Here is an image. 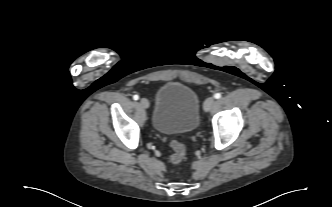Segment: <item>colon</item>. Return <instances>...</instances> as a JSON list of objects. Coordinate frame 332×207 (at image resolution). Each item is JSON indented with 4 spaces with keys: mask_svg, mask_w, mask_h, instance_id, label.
I'll list each match as a JSON object with an SVG mask.
<instances>
[{
    "mask_svg": "<svg viewBox=\"0 0 332 207\" xmlns=\"http://www.w3.org/2000/svg\"><path fill=\"white\" fill-rule=\"evenodd\" d=\"M170 147L173 152L170 157V161L173 164L180 163L185 158V154H186L185 146L181 142H179L177 140H173L170 143Z\"/></svg>",
    "mask_w": 332,
    "mask_h": 207,
    "instance_id": "obj_1",
    "label": "colon"
}]
</instances>
